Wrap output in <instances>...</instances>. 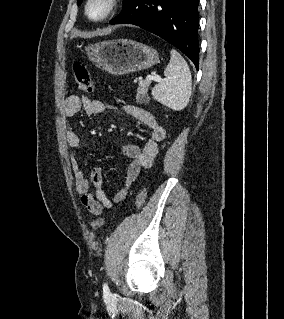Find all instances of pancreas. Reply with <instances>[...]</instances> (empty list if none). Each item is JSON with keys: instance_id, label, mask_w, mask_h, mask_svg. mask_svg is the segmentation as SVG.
Returning <instances> with one entry per match:
<instances>
[{"instance_id": "obj_1", "label": "pancreas", "mask_w": 284, "mask_h": 319, "mask_svg": "<svg viewBox=\"0 0 284 319\" xmlns=\"http://www.w3.org/2000/svg\"><path fill=\"white\" fill-rule=\"evenodd\" d=\"M150 83L147 81H140L139 87L137 89V95L136 100L139 104H147L149 103V97H148V87Z\"/></svg>"}]
</instances>
